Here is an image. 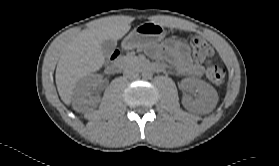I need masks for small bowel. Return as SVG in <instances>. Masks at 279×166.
<instances>
[{
    "instance_id": "1",
    "label": "small bowel",
    "mask_w": 279,
    "mask_h": 166,
    "mask_svg": "<svg viewBox=\"0 0 279 166\" xmlns=\"http://www.w3.org/2000/svg\"><path fill=\"white\" fill-rule=\"evenodd\" d=\"M156 55L164 56L175 65L180 74L200 76L203 73L202 65L192 61L187 45L179 40L170 39L166 41L156 52Z\"/></svg>"
}]
</instances>
